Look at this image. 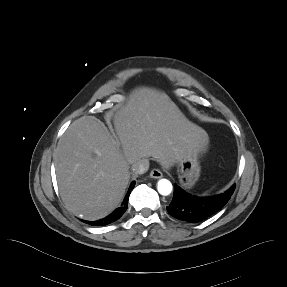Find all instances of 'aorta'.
Returning a JSON list of instances; mask_svg holds the SVG:
<instances>
[{
	"label": "aorta",
	"mask_w": 287,
	"mask_h": 287,
	"mask_svg": "<svg viewBox=\"0 0 287 287\" xmlns=\"http://www.w3.org/2000/svg\"><path fill=\"white\" fill-rule=\"evenodd\" d=\"M172 189V183L168 179H160L157 183V190L163 196L171 194Z\"/></svg>",
	"instance_id": "762f6f07"
}]
</instances>
